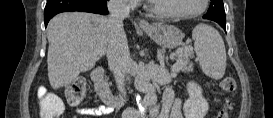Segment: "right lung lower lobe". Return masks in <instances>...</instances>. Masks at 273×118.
Returning <instances> with one entry per match:
<instances>
[{
    "instance_id": "98d812e1",
    "label": "right lung lower lobe",
    "mask_w": 273,
    "mask_h": 118,
    "mask_svg": "<svg viewBox=\"0 0 273 118\" xmlns=\"http://www.w3.org/2000/svg\"><path fill=\"white\" fill-rule=\"evenodd\" d=\"M67 11L108 14L106 0H47L44 11L45 27L54 15Z\"/></svg>"
}]
</instances>
